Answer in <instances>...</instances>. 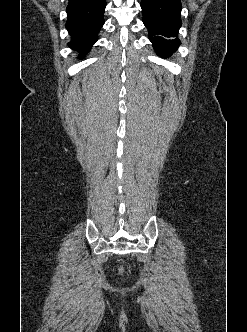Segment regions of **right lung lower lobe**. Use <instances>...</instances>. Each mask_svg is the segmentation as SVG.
<instances>
[{
	"instance_id": "right-lung-lower-lobe-1",
	"label": "right lung lower lobe",
	"mask_w": 247,
	"mask_h": 332,
	"mask_svg": "<svg viewBox=\"0 0 247 332\" xmlns=\"http://www.w3.org/2000/svg\"><path fill=\"white\" fill-rule=\"evenodd\" d=\"M105 7L106 0H69L65 25L71 36L68 46L80 53L79 59L97 41L104 24Z\"/></svg>"
}]
</instances>
